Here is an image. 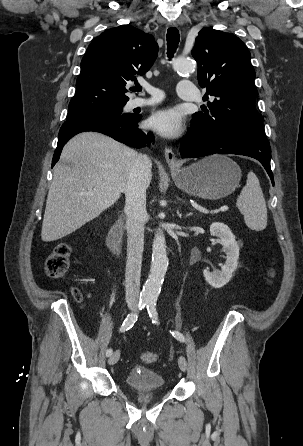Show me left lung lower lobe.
Listing matches in <instances>:
<instances>
[{
  "mask_svg": "<svg viewBox=\"0 0 303 446\" xmlns=\"http://www.w3.org/2000/svg\"><path fill=\"white\" fill-rule=\"evenodd\" d=\"M181 156L202 157L211 154H238L257 159L274 184L270 167L271 147L267 139L241 136L228 131L205 129L191 125L181 142Z\"/></svg>",
  "mask_w": 303,
  "mask_h": 446,
  "instance_id": "1",
  "label": "left lung lower lobe"
}]
</instances>
